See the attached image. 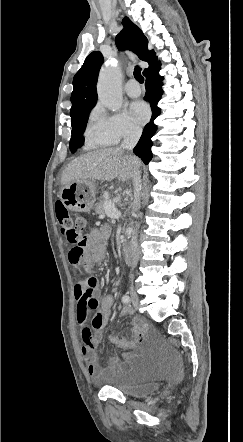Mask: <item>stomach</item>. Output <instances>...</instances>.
<instances>
[{"mask_svg": "<svg viewBox=\"0 0 243 442\" xmlns=\"http://www.w3.org/2000/svg\"><path fill=\"white\" fill-rule=\"evenodd\" d=\"M96 184L92 180H78L65 185L59 197L69 210L89 212L96 200Z\"/></svg>", "mask_w": 243, "mask_h": 442, "instance_id": "1", "label": "stomach"}]
</instances>
